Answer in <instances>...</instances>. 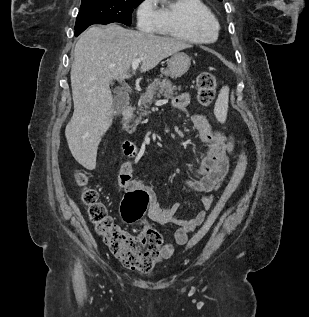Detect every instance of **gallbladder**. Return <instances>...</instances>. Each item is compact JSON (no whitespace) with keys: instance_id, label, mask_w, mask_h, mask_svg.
Returning a JSON list of instances; mask_svg holds the SVG:
<instances>
[{"instance_id":"bac80fb5","label":"gallbladder","mask_w":309,"mask_h":317,"mask_svg":"<svg viewBox=\"0 0 309 317\" xmlns=\"http://www.w3.org/2000/svg\"><path fill=\"white\" fill-rule=\"evenodd\" d=\"M116 96L113 100V111L114 114H119L128 104L129 96L127 93H123L119 90H116Z\"/></svg>"}]
</instances>
